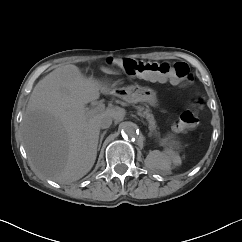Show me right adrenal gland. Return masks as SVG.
<instances>
[{
	"label": "right adrenal gland",
	"mask_w": 242,
	"mask_h": 242,
	"mask_svg": "<svg viewBox=\"0 0 242 242\" xmlns=\"http://www.w3.org/2000/svg\"><path fill=\"white\" fill-rule=\"evenodd\" d=\"M106 134V131H104L101 135H100V140H99V145H98V150H100L104 135Z\"/></svg>",
	"instance_id": "2a0ac1e0"
}]
</instances>
